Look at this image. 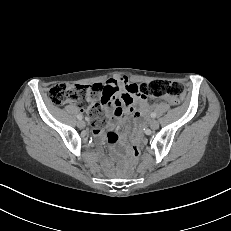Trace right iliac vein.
<instances>
[{"instance_id": "right-iliac-vein-1", "label": "right iliac vein", "mask_w": 231, "mask_h": 231, "mask_svg": "<svg viewBox=\"0 0 231 231\" xmlns=\"http://www.w3.org/2000/svg\"><path fill=\"white\" fill-rule=\"evenodd\" d=\"M85 125H86V124H85V122H84L83 120H79L78 123H77V126H78L80 129L84 128Z\"/></svg>"}]
</instances>
